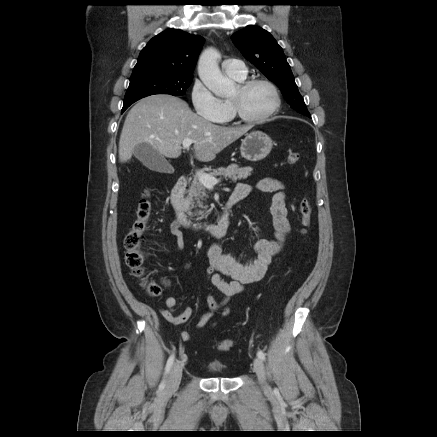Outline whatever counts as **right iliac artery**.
Returning a JSON list of instances; mask_svg holds the SVG:
<instances>
[{
    "mask_svg": "<svg viewBox=\"0 0 437 437\" xmlns=\"http://www.w3.org/2000/svg\"><path fill=\"white\" fill-rule=\"evenodd\" d=\"M174 359H175V355L174 353H172L167 361L166 367H165V376L163 381L160 384V388L163 389L165 387V378L167 376V374L169 373L173 363H174Z\"/></svg>",
    "mask_w": 437,
    "mask_h": 437,
    "instance_id": "obj_1",
    "label": "right iliac artery"
}]
</instances>
